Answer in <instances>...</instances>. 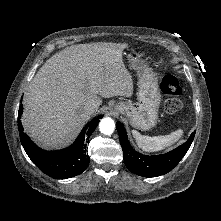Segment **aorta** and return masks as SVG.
<instances>
[{
	"label": "aorta",
	"mask_w": 221,
	"mask_h": 221,
	"mask_svg": "<svg viewBox=\"0 0 221 221\" xmlns=\"http://www.w3.org/2000/svg\"><path fill=\"white\" fill-rule=\"evenodd\" d=\"M115 122L112 118H103L99 123V130L102 134L110 135L114 132Z\"/></svg>",
	"instance_id": "aorta-1"
}]
</instances>
